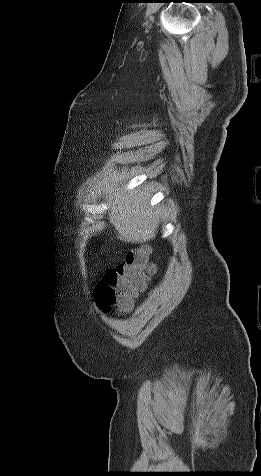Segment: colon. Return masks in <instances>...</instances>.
<instances>
[{
  "instance_id": "obj_1",
  "label": "colon",
  "mask_w": 261,
  "mask_h": 476,
  "mask_svg": "<svg viewBox=\"0 0 261 476\" xmlns=\"http://www.w3.org/2000/svg\"><path fill=\"white\" fill-rule=\"evenodd\" d=\"M149 253L146 246L131 250L123 263L105 273L95 290L102 310L107 312L115 307L124 312L131 308L135 295L144 289L154 272Z\"/></svg>"
}]
</instances>
